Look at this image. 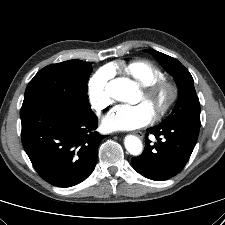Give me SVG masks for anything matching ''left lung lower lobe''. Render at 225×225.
<instances>
[{
    "label": "left lung lower lobe",
    "mask_w": 225,
    "mask_h": 225,
    "mask_svg": "<svg viewBox=\"0 0 225 225\" xmlns=\"http://www.w3.org/2000/svg\"><path fill=\"white\" fill-rule=\"evenodd\" d=\"M200 123L176 122L147 129L158 140L145 135L144 152L132 158L133 168L146 178L163 181L182 171L196 145ZM160 136L164 137L161 141Z\"/></svg>",
    "instance_id": "obj_1"
}]
</instances>
